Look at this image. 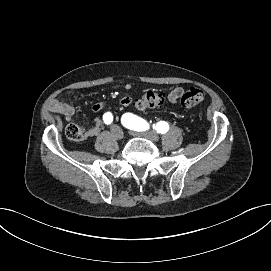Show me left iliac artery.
Instances as JSON below:
<instances>
[{
  "label": "left iliac artery",
  "mask_w": 271,
  "mask_h": 271,
  "mask_svg": "<svg viewBox=\"0 0 271 271\" xmlns=\"http://www.w3.org/2000/svg\"><path fill=\"white\" fill-rule=\"evenodd\" d=\"M121 123L123 126L130 130L134 131H146L149 129V124L142 118L133 115L132 113H125L121 118ZM153 129H155L158 133L164 134L168 131L169 125L165 121H160L156 125H153Z\"/></svg>",
  "instance_id": "44dca946"
}]
</instances>
